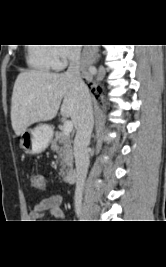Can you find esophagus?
Wrapping results in <instances>:
<instances>
[{"mask_svg":"<svg viewBox=\"0 0 166 267\" xmlns=\"http://www.w3.org/2000/svg\"><path fill=\"white\" fill-rule=\"evenodd\" d=\"M88 77V79H91V77H89V75H86Z\"/></svg>","mask_w":166,"mask_h":267,"instance_id":"obj_1","label":"esophagus"}]
</instances>
